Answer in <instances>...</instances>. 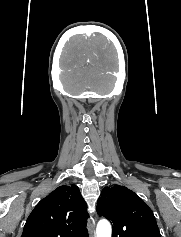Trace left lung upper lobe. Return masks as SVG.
I'll return each instance as SVG.
<instances>
[{"label":"left lung upper lobe","mask_w":181,"mask_h":237,"mask_svg":"<svg viewBox=\"0 0 181 237\" xmlns=\"http://www.w3.org/2000/svg\"><path fill=\"white\" fill-rule=\"evenodd\" d=\"M97 213L112 222V237H161L152 210L125 186L105 187Z\"/></svg>","instance_id":"1"}]
</instances>
